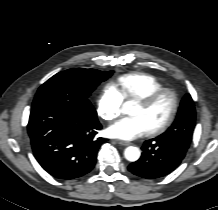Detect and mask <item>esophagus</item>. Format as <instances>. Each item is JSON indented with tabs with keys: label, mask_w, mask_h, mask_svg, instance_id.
<instances>
[{
	"label": "esophagus",
	"mask_w": 218,
	"mask_h": 210,
	"mask_svg": "<svg viewBox=\"0 0 218 210\" xmlns=\"http://www.w3.org/2000/svg\"><path fill=\"white\" fill-rule=\"evenodd\" d=\"M116 142L120 145H123V146H128L131 144L130 142L122 141V140H116Z\"/></svg>",
	"instance_id": "34e87169"
}]
</instances>
